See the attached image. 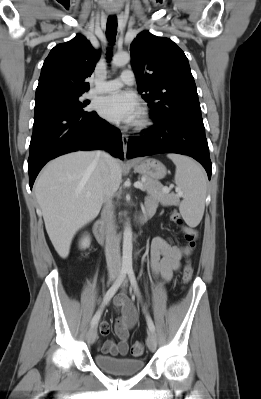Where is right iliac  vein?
<instances>
[{
  "label": "right iliac vein",
  "mask_w": 261,
  "mask_h": 399,
  "mask_svg": "<svg viewBox=\"0 0 261 399\" xmlns=\"http://www.w3.org/2000/svg\"><path fill=\"white\" fill-rule=\"evenodd\" d=\"M116 279L115 275H111L109 281L110 282H114ZM97 337V328L96 326H93L90 328V330L88 331V335H87V341L89 344H93L96 340Z\"/></svg>",
  "instance_id": "obj_1"
}]
</instances>
